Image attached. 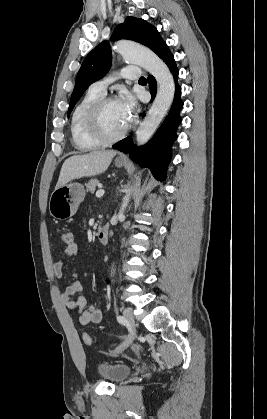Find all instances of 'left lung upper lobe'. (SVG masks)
<instances>
[{
  "label": "left lung upper lobe",
  "instance_id": "obj_1",
  "mask_svg": "<svg viewBox=\"0 0 267 419\" xmlns=\"http://www.w3.org/2000/svg\"><path fill=\"white\" fill-rule=\"evenodd\" d=\"M111 39L114 41L119 39L136 41L149 47L157 55L166 45L155 27L143 19L132 16L127 17L123 24H119L115 28ZM111 63L112 55L108 41L100 43L86 56L77 74L68 113L73 110L85 90L110 70Z\"/></svg>",
  "mask_w": 267,
  "mask_h": 419
}]
</instances>
